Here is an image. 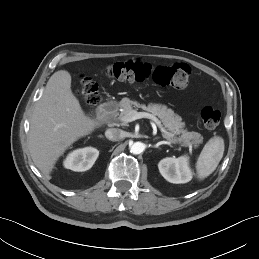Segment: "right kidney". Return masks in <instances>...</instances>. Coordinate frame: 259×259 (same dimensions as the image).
<instances>
[{"mask_svg":"<svg viewBox=\"0 0 259 259\" xmlns=\"http://www.w3.org/2000/svg\"><path fill=\"white\" fill-rule=\"evenodd\" d=\"M99 151L93 147L77 149L71 152L64 161V166L73 171H86L95 163Z\"/></svg>","mask_w":259,"mask_h":259,"instance_id":"ca27d5eb","label":"right kidney"}]
</instances>
